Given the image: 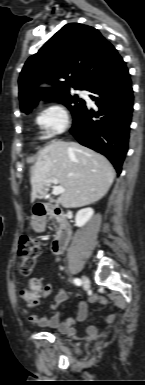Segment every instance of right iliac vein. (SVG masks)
Segmentation results:
<instances>
[{
  "instance_id": "63e3f726",
  "label": "right iliac vein",
  "mask_w": 145,
  "mask_h": 385,
  "mask_svg": "<svg viewBox=\"0 0 145 385\" xmlns=\"http://www.w3.org/2000/svg\"><path fill=\"white\" fill-rule=\"evenodd\" d=\"M82 283L84 288L88 289L90 287V280L87 276H82Z\"/></svg>"
}]
</instances>
